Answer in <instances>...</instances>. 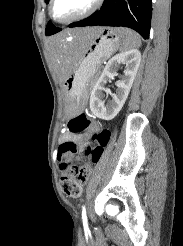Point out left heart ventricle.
<instances>
[{"label":"left heart ventricle","mask_w":183,"mask_h":246,"mask_svg":"<svg viewBox=\"0 0 183 246\" xmlns=\"http://www.w3.org/2000/svg\"><path fill=\"white\" fill-rule=\"evenodd\" d=\"M94 0H55L53 15L58 20H64L83 13Z\"/></svg>","instance_id":"1"}]
</instances>
